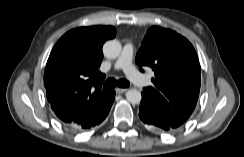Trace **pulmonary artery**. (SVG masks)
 <instances>
[{"label":"pulmonary artery","instance_id":"pulmonary-artery-1","mask_svg":"<svg viewBox=\"0 0 244 157\" xmlns=\"http://www.w3.org/2000/svg\"><path fill=\"white\" fill-rule=\"evenodd\" d=\"M134 46L132 43H126L123 47L122 53L118 58L115 68L122 69L127 77L138 86H147L149 80L140 74L132 64Z\"/></svg>","mask_w":244,"mask_h":157}]
</instances>
